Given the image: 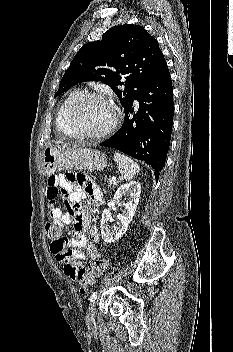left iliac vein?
Wrapping results in <instances>:
<instances>
[{"label": "left iliac vein", "mask_w": 233, "mask_h": 352, "mask_svg": "<svg viewBox=\"0 0 233 352\" xmlns=\"http://www.w3.org/2000/svg\"><path fill=\"white\" fill-rule=\"evenodd\" d=\"M95 309H96V302L95 301H92L89 308H88V311H87V322L89 324H91L94 320V313H95Z\"/></svg>", "instance_id": "1"}]
</instances>
